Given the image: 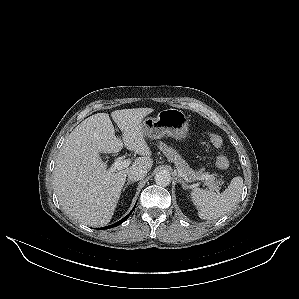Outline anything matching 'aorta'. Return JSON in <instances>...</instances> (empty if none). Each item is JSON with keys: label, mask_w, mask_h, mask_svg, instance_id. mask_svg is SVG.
Listing matches in <instances>:
<instances>
[{"label": "aorta", "mask_w": 299, "mask_h": 299, "mask_svg": "<svg viewBox=\"0 0 299 299\" xmlns=\"http://www.w3.org/2000/svg\"><path fill=\"white\" fill-rule=\"evenodd\" d=\"M157 185L168 186L171 183V175L167 170H159L154 176Z\"/></svg>", "instance_id": "obj_1"}]
</instances>
